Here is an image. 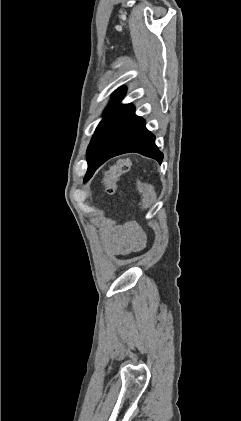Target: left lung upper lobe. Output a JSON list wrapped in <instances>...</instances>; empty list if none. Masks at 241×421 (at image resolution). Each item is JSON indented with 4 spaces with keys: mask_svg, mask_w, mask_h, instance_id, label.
Wrapping results in <instances>:
<instances>
[{
    "mask_svg": "<svg viewBox=\"0 0 241 421\" xmlns=\"http://www.w3.org/2000/svg\"><path fill=\"white\" fill-rule=\"evenodd\" d=\"M125 88H119L112 96L111 102L105 110L104 118L99 123L87 149L88 166L93 164L102 153L109 136L127 105H120L125 95Z\"/></svg>",
    "mask_w": 241,
    "mask_h": 421,
    "instance_id": "5c2ea615",
    "label": "left lung upper lobe"
}]
</instances>
